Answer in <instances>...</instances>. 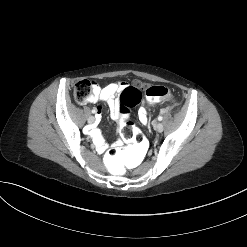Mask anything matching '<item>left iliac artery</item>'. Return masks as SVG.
<instances>
[{
	"mask_svg": "<svg viewBox=\"0 0 247 247\" xmlns=\"http://www.w3.org/2000/svg\"><path fill=\"white\" fill-rule=\"evenodd\" d=\"M158 120H159V121H162V120H163V117H162V116H159V117H158Z\"/></svg>",
	"mask_w": 247,
	"mask_h": 247,
	"instance_id": "1",
	"label": "left iliac artery"
}]
</instances>
